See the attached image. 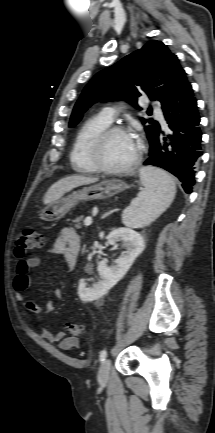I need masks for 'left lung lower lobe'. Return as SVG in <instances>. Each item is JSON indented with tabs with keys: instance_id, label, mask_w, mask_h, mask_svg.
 Segmentation results:
<instances>
[{
	"instance_id": "0a47b994",
	"label": "left lung lower lobe",
	"mask_w": 215,
	"mask_h": 433,
	"mask_svg": "<svg viewBox=\"0 0 215 433\" xmlns=\"http://www.w3.org/2000/svg\"><path fill=\"white\" fill-rule=\"evenodd\" d=\"M171 135L161 130L150 145V157L144 165L161 167L182 182L186 193L192 192L199 158L202 155L200 116L192 87L185 78L163 105Z\"/></svg>"
}]
</instances>
